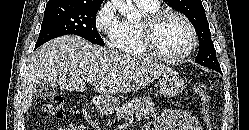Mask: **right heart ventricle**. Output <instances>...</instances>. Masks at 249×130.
I'll return each instance as SVG.
<instances>
[{
	"mask_svg": "<svg viewBox=\"0 0 249 130\" xmlns=\"http://www.w3.org/2000/svg\"><path fill=\"white\" fill-rule=\"evenodd\" d=\"M137 5L145 16L159 9L158 5L152 6L139 2H137ZM115 47L124 54L132 57L149 56L142 39L141 22L128 20L121 22Z\"/></svg>",
	"mask_w": 249,
	"mask_h": 130,
	"instance_id": "e07e8e85",
	"label": "right heart ventricle"
}]
</instances>
